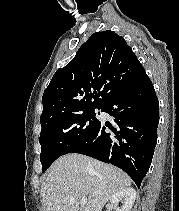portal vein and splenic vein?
<instances>
[{
    "label": "portal vein and splenic vein",
    "mask_w": 179,
    "mask_h": 211,
    "mask_svg": "<svg viewBox=\"0 0 179 211\" xmlns=\"http://www.w3.org/2000/svg\"><path fill=\"white\" fill-rule=\"evenodd\" d=\"M86 201H87V199H86L85 197H81V198H80V203H81V205L86 204Z\"/></svg>",
    "instance_id": "1"
}]
</instances>
